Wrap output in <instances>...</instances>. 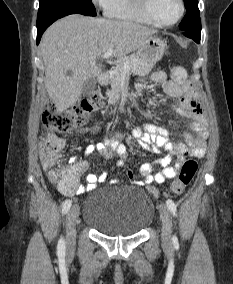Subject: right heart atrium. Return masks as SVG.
Listing matches in <instances>:
<instances>
[{
	"mask_svg": "<svg viewBox=\"0 0 233 284\" xmlns=\"http://www.w3.org/2000/svg\"><path fill=\"white\" fill-rule=\"evenodd\" d=\"M92 2L101 8H105L108 0H92Z\"/></svg>",
	"mask_w": 233,
	"mask_h": 284,
	"instance_id": "right-heart-atrium-1",
	"label": "right heart atrium"
}]
</instances>
